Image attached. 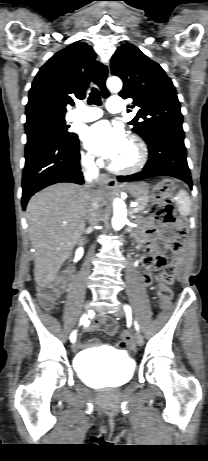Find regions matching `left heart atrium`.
I'll return each mask as SVG.
<instances>
[{
  "instance_id": "left-heart-atrium-1",
  "label": "left heart atrium",
  "mask_w": 208,
  "mask_h": 461,
  "mask_svg": "<svg viewBox=\"0 0 208 461\" xmlns=\"http://www.w3.org/2000/svg\"><path fill=\"white\" fill-rule=\"evenodd\" d=\"M86 147L92 152L108 159H115L126 144L122 128L100 121L88 127L83 135Z\"/></svg>"
}]
</instances>
